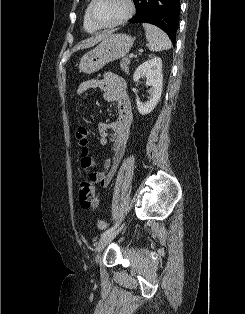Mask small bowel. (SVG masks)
<instances>
[{
  "label": "small bowel",
  "instance_id": "small-bowel-1",
  "mask_svg": "<svg viewBox=\"0 0 245 314\" xmlns=\"http://www.w3.org/2000/svg\"><path fill=\"white\" fill-rule=\"evenodd\" d=\"M103 91V98L107 102H114L117 108V118L111 123H98L95 127H78L76 138L80 150V168L90 180L107 187L123 157L126 144L130 135L132 122V110L130 98L127 93L125 81L115 73L107 72L102 79H91L82 82L76 90L78 95H83L93 89ZM96 135L101 145L111 143V157L100 162L90 153V137ZM101 166L97 172H91L90 168ZM98 204L95 201L94 207Z\"/></svg>",
  "mask_w": 245,
  "mask_h": 314
}]
</instances>
